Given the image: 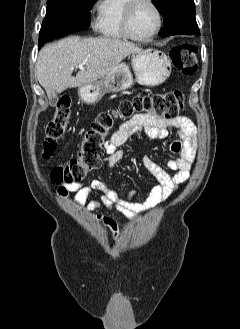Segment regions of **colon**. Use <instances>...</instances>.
<instances>
[{
    "instance_id": "obj_1",
    "label": "colon",
    "mask_w": 240,
    "mask_h": 329,
    "mask_svg": "<svg viewBox=\"0 0 240 329\" xmlns=\"http://www.w3.org/2000/svg\"><path fill=\"white\" fill-rule=\"evenodd\" d=\"M197 52V47L193 44L175 45L170 51L173 66L183 74H194L197 70ZM183 105V94L180 91L171 90L125 100L115 110L100 113L80 141L77 154L65 163L52 168L51 180L59 184H69L84 179L92 169L99 165L104 152L105 135L117 120L130 119L143 113L156 114L165 119H175L181 114ZM70 120L71 100L64 96L58 101L54 117L46 127L43 151L45 158L53 155Z\"/></svg>"
}]
</instances>
